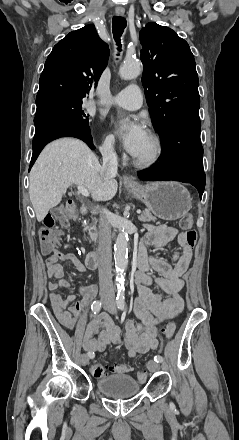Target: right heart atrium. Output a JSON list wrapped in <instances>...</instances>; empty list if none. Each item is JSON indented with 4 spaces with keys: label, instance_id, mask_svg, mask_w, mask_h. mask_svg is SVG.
Segmentation results:
<instances>
[{
    "label": "right heart atrium",
    "instance_id": "d8ad5b80",
    "mask_svg": "<svg viewBox=\"0 0 239 440\" xmlns=\"http://www.w3.org/2000/svg\"><path fill=\"white\" fill-rule=\"evenodd\" d=\"M101 150H102V153L106 156H112L115 154V145H114L113 140L110 137L105 139Z\"/></svg>",
    "mask_w": 239,
    "mask_h": 440
}]
</instances>
